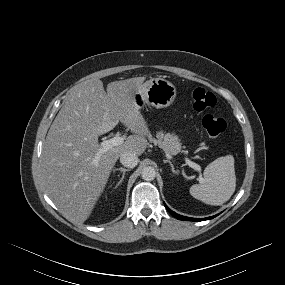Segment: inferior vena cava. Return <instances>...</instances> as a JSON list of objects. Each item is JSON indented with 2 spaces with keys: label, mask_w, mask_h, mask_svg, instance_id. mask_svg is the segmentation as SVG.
Wrapping results in <instances>:
<instances>
[{
  "label": "inferior vena cava",
  "mask_w": 285,
  "mask_h": 285,
  "mask_svg": "<svg viewBox=\"0 0 285 285\" xmlns=\"http://www.w3.org/2000/svg\"><path fill=\"white\" fill-rule=\"evenodd\" d=\"M138 157L134 152L126 151L120 155V162L129 168H134L138 164Z\"/></svg>",
  "instance_id": "obj_1"
}]
</instances>
